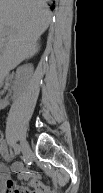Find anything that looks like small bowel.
Wrapping results in <instances>:
<instances>
[{
	"label": "small bowel",
	"instance_id": "1",
	"mask_svg": "<svg viewBox=\"0 0 103 193\" xmlns=\"http://www.w3.org/2000/svg\"><path fill=\"white\" fill-rule=\"evenodd\" d=\"M0 153L5 160H11V154L7 149L4 140H1L0 142ZM12 174H17L19 180L23 182H28L29 185L32 187L31 190L25 189L26 193H58L57 190L51 188L49 185L42 184L40 182L39 174L33 170L26 169L25 166L20 162L13 163L10 168H8L7 166L1 167V193H15L17 188H23L18 186L11 179Z\"/></svg>",
	"mask_w": 103,
	"mask_h": 193
}]
</instances>
